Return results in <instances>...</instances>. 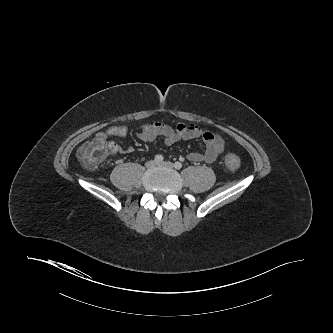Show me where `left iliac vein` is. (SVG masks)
<instances>
[{"instance_id": "4c4485c4", "label": "left iliac vein", "mask_w": 333, "mask_h": 333, "mask_svg": "<svg viewBox=\"0 0 333 333\" xmlns=\"http://www.w3.org/2000/svg\"><path fill=\"white\" fill-rule=\"evenodd\" d=\"M158 166H161V167H167V168H173V164L171 162H162V163H158L157 164Z\"/></svg>"}]
</instances>
